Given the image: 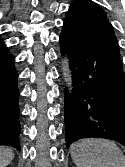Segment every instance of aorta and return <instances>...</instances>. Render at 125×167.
Returning <instances> with one entry per match:
<instances>
[{
	"mask_svg": "<svg viewBox=\"0 0 125 167\" xmlns=\"http://www.w3.org/2000/svg\"><path fill=\"white\" fill-rule=\"evenodd\" d=\"M62 70H63L64 82L68 88V91H71L72 90V72L69 68V60L67 58V55L63 56Z\"/></svg>",
	"mask_w": 125,
	"mask_h": 167,
	"instance_id": "aorta-1",
	"label": "aorta"
}]
</instances>
